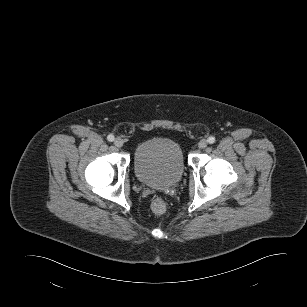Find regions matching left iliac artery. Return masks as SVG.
I'll return each instance as SVG.
<instances>
[{
    "instance_id": "44dca946",
    "label": "left iliac artery",
    "mask_w": 307,
    "mask_h": 307,
    "mask_svg": "<svg viewBox=\"0 0 307 307\" xmlns=\"http://www.w3.org/2000/svg\"><path fill=\"white\" fill-rule=\"evenodd\" d=\"M207 142H208L209 144H213V143L215 142V137L210 136V137L207 139Z\"/></svg>"
}]
</instances>
